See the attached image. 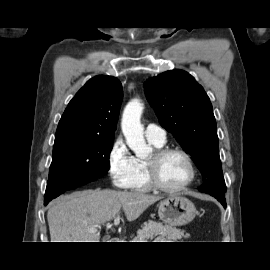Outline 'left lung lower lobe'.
Here are the masks:
<instances>
[{
	"label": "left lung lower lobe",
	"instance_id": "1",
	"mask_svg": "<svg viewBox=\"0 0 270 270\" xmlns=\"http://www.w3.org/2000/svg\"><path fill=\"white\" fill-rule=\"evenodd\" d=\"M199 190L215 197L223 205L224 208L226 207V185L223 176H217L211 180H208L203 184V186L200 187Z\"/></svg>",
	"mask_w": 270,
	"mask_h": 270
}]
</instances>
